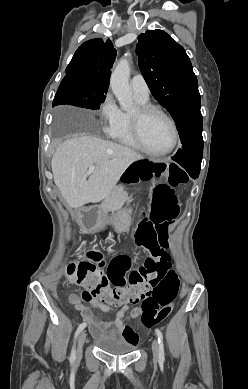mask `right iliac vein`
Returning a JSON list of instances; mask_svg holds the SVG:
<instances>
[{
	"label": "right iliac vein",
	"instance_id": "right-iliac-vein-1",
	"mask_svg": "<svg viewBox=\"0 0 248 389\" xmlns=\"http://www.w3.org/2000/svg\"><path fill=\"white\" fill-rule=\"evenodd\" d=\"M85 339H86V332L82 331L79 335V338H78V347H77V355L78 356L81 355V353H82Z\"/></svg>",
	"mask_w": 248,
	"mask_h": 389
}]
</instances>
